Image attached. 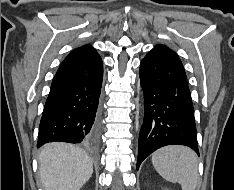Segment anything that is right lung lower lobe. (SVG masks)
Returning a JSON list of instances; mask_svg holds the SVG:
<instances>
[{
	"instance_id": "obj_1",
	"label": "right lung lower lobe",
	"mask_w": 234,
	"mask_h": 190,
	"mask_svg": "<svg viewBox=\"0 0 234 190\" xmlns=\"http://www.w3.org/2000/svg\"><path fill=\"white\" fill-rule=\"evenodd\" d=\"M103 64L85 45L64 59L53 78L40 121L37 147L48 142L95 143Z\"/></svg>"
}]
</instances>
